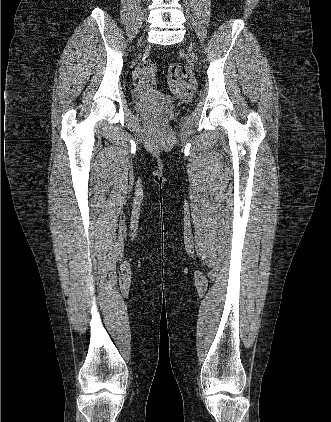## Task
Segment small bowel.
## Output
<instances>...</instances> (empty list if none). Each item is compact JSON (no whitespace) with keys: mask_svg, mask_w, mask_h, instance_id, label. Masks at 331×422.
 <instances>
[{"mask_svg":"<svg viewBox=\"0 0 331 422\" xmlns=\"http://www.w3.org/2000/svg\"><path fill=\"white\" fill-rule=\"evenodd\" d=\"M152 86H153V81H149V80H146V79L142 78V82H141V90L142 91H147Z\"/></svg>","mask_w":331,"mask_h":422,"instance_id":"1","label":"small bowel"}]
</instances>
